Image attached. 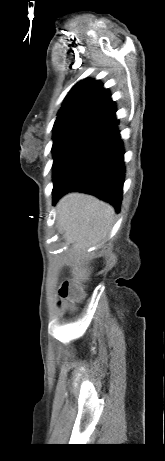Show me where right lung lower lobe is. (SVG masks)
I'll use <instances>...</instances> for the list:
<instances>
[{
	"label": "right lung lower lobe",
	"instance_id": "obj_1",
	"mask_svg": "<svg viewBox=\"0 0 165 461\" xmlns=\"http://www.w3.org/2000/svg\"><path fill=\"white\" fill-rule=\"evenodd\" d=\"M125 178L124 147L115 118L100 129L54 181L53 205L64 194H92L120 210Z\"/></svg>",
	"mask_w": 165,
	"mask_h": 461
}]
</instances>
